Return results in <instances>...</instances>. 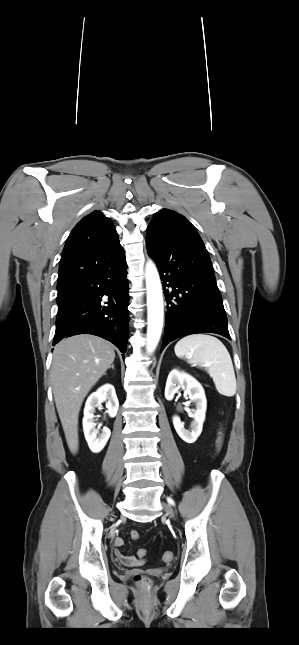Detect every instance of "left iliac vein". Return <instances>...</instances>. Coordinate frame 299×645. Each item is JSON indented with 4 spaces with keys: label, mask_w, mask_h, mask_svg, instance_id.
<instances>
[{
    "label": "left iliac vein",
    "mask_w": 299,
    "mask_h": 645,
    "mask_svg": "<svg viewBox=\"0 0 299 645\" xmlns=\"http://www.w3.org/2000/svg\"><path fill=\"white\" fill-rule=\"evenodd\" d=\"M162 506L167 515H169L170 517H174V511L170 505L163 502Z\"/></svg>",
    "instance_id": "1"
}]
</instances>
